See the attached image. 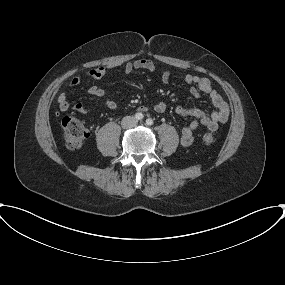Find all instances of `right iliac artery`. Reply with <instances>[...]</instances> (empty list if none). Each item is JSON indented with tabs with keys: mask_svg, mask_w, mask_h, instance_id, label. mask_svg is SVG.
Masks as SVG:
<instances>
[{
	"mask_svg": "<svg viewBox=\"0 0 285 285\" xmlns=\"http://www.w3.org/2000/svg\"><path fill=\"white\" fill-rule=\"evenodd\" d=\"M135 118H136L137 120H142V119L144 118V116H143L142 113H136V114H135Z\"/></svg>",
	"mask_w": 285,
	"mask_h": 285,
	"instance_id": "82829eb1",
	"label": "right iliac artery"
}]
</instances>
